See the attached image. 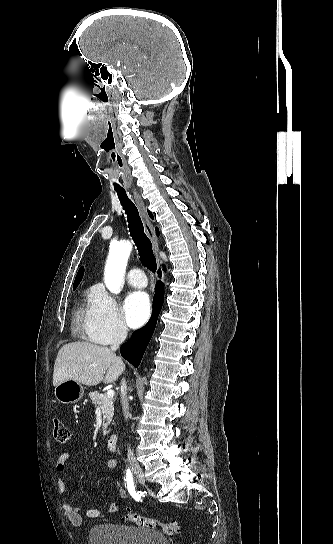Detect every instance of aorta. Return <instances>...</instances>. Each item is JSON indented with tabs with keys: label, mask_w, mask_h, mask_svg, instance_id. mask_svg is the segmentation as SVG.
<instances>
[{
	"label": "aorta",
	"mask_w": 333,
	"mask_h": 544,
	"mask_svg": "<svg viewBox=\"0 0 333 544\" xmlns=\"http://www.w3.org/2000/svg\"><path fill=\"white\" fill-rule=\"evenodd\" d=\"M132 250L130 242H120L111 247L107 259L104 281L107 289L114 294L121 291L128 258Z\"/></svg>",
	"instance_id": "762f6f07"
}]
</instances>
